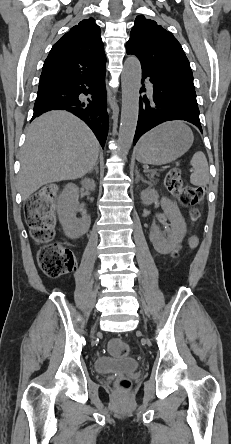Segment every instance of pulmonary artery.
<instances>
[{"mask_svg": "<svg viewBox=\"0 0 231 444\" xmlns=\"http://www.w3.org/2000/svg\"><path fill=\"white\" fill-rule=\"evenodd\" d=\"M151 89H152V87H151V85H149V90L151 91Z\"/></svg>", "mask_w": 231, "mask_h": 444, "instance_id": "e3ab8cb5", "label": "pulmonary artery"}]
</instances>
